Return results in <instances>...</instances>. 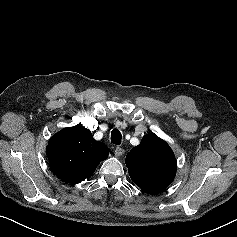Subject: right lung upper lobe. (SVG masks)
<instances>
[{
    "instance_id": "right-lung-upper-lobe-1",
    "label": "right lung upper lobe",
    "mask_w": 237,
    "mask_h": 237,
    "mask_svg": "<svg viewBox=\"0 0 237 237\" xmlns=\"http://www.w3.org/2000/svg\"><path fill=\"white\" fill-rule=\"evenodd\" d=\"M46 153L55 175L76 184L91 176L98 164L108 157L109 149L94 140L90 130L74 126L51 137Z\"/></svg>"
}]
</instances>
